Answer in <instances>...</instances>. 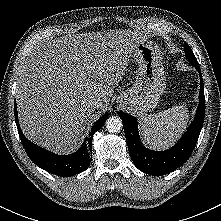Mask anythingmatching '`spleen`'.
Wrapping results in <instances>:
<instances>
[{
    "mask_svg": "<svg viewBox=\"0 0 221 221\" xmlns=\"http://www.w3.org/2000/svg\"><path fill=\"white\" fill-rule=\"evenodd\" d=\"M189 119L185 103L154 115L140 117V131L147 144L165 149L183 133Z\"/></svg>",
    "mask_w": 221,
    "mask_h": 221,
    "instance_id": "3e777b00",
    "label": "spleen"
}]
</instances>
